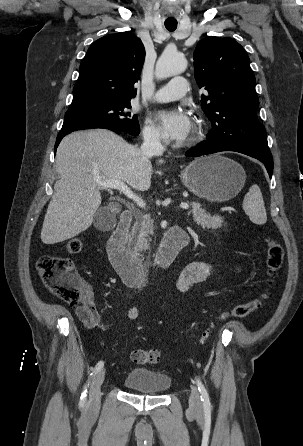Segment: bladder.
<instances>
[{"label":"bladder","instance_id":"bladder-1","mask_svg":"<svg viewBox=\"0 0 303 446\" xmlns=\"http://www.w3.org/2000/svg\"><path fill=\"white\" fill-rule=\"evenodd\" d=\"M124 386L132 391L147 394H162L172 386L169 375L146 368H134L127 373L123 381Z\"/></svg>","mask_w":303,"mask_h":446}]
</instances>
